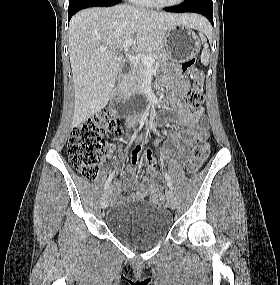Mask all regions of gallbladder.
I'll return each mask as SVG.
<instances>
[{
    "instance_id": "gallbladder-1",
    "label": "gallbladder",
    "mask_w": 280,
    "mask_h": 285,
    "mask_svg": "<svg viewBox=\"0 0 280 285\" xmlns=\"http://www.w3.org/2000/svg\"><path fill=\"white\" fill-rule=\"evenodd\" d=\"M116 84H118V79L116 80Z\"/></svg>"
}]
</instances>
